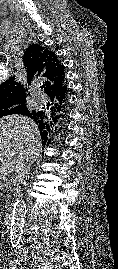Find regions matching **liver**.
<instances>
[{
	"mask_svg": "<svg viewBox=\"0 0 118 269\" xmlns=\"http://www.w3.org/2000/svg\"><path fill=\"white\" fill-rule=\"evenodd\" d=\"M41 150L40 131L31 118L21 115L0 118V178L16 174L23 160H36Z\"/></svg>",
	"mask_w": 118,
	"mask_h": 269,
	"instance_id": "6515ba94",
	"label": "liver"
}]
</instances>
